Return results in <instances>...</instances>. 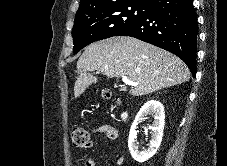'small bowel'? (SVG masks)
<instances>
[{
	"label": "small bowel",
	"instance_id": "c3829d8e",
	"mask_svg": "<svg viewBox=\"0 0 227 166\" xmlns=\"http://www.w3.org/2000/svg\"><path fill=\"white\" fill-rule=\"evenodd\" d=\"M92 133L96 136H104L107 139L106 147L111 153H113L114 161L116 163L120 164L124 161V154L119 152L117 148L110 143L111 141H114L118 138V132L116 129L108 125H98L92 129ZM92 144L93 143L91 142L89 146ZM98 163V160L92 157H87L84 159L85 166H97Z\"/></svg>",
	"mask_w": 227,
	"mask_h": 166
}]
</instances>
